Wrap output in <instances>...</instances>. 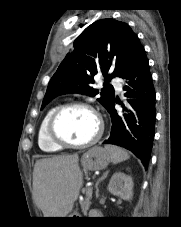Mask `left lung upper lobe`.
I'll use <instances>...</instances> for the list:
<instances>
[{"label": "left lung upper lobe", "mask_w": 181, "mask_h": 227, "mask_svg": "<svg viewBox=\"0 0 181 227\" xmlns=\"http://www.w3.org/2000/svg\"><path fill=\"white\" fill-rule=\"evenodd\" d=\"M139 43L127 23L107 18L88 26L74 41V51L51 78L41 109L64 93L100 94L98 101L107 109L114 101L113 87L104 83L99 92L90 86L93 77L98 72H102L105 82L119 77Z\"/></svg>", "instance_id": "1"}]
</instances>
